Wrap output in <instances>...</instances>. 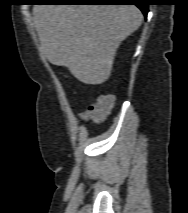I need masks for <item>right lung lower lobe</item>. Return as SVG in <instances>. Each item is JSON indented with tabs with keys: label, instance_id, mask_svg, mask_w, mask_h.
Segmentation results:
<instances>
[{
	"label": "right lung lower lobe",
	"instance_id": "right-lung-lower-lobe-1",
	"mask_svg": "<svg viewBox=\"0 0 188 213\" xmlns=\"http://www.w3.org/2000/svg\"><path fill=\"white\" fill-rule=\"evenodd\" d=\"M46 3H68V4H133L143 12L148 13L147 0H45Z\"/></svg>",
	"mask_w": 188,
	"mask_h": 213
}]
</instances>
